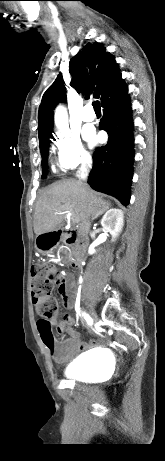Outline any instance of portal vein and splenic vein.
<instances>
[{"mask_svg": "<svg viewBox=\"0 0 165 461\" xmlns=\"http://www.w3.org/2000/svg\"><path fill=\"white\" fill-rule=\"evenodd\" d=\"M68 216H71V213H68ZM72 221H73L74 223L77 222L76 219H74V218H72Z\"/></svg>", "mask_w": 165, "mask_h": 461, "instance_id": "1", "label": "portal vein and splenic vein"}]
</instances>
